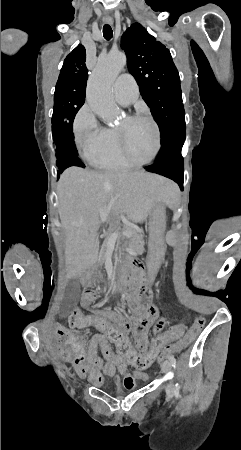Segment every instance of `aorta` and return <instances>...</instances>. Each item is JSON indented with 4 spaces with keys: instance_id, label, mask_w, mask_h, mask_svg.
<instances>
[{
    "instance_id": "aorta-1",
    "label": "aorta",
    "mask_w": 241,
    "mask_h": 450,
    "mask_svg": "<svg viewBox=\"0 0 241 450\" xmlns=\"http://www.w3.org/2000/svg\"><path fill=\"white\" fill-rule=\"evenodd\" d=\"M125 65L124 53H110L98 60L88 79L87 102L106 123H113L119 115V108L112 96V84Z\"/></svg>"
}]
</instances>
